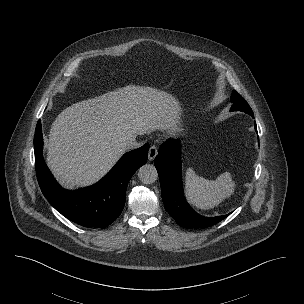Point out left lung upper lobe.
<instances>
[{
    "label": "left lung upper lobe",
    "mask_w": 304,
    "mask_h": 304,
    "mask_svg": "<svg viewBox=\"0 0 304 304\" xmlns=\"http://www.w3.org/2000/svg\"><path fill=\"white\" fill-rule=\"evenodd\" d=\"M231 102L233 103V105L231 107V111H241V112H245L251 116H254L253 111L250 108V106L248 105V103L235 90L232 92Z\"/></svg>",
    "instance_id": "1"
}]
</instances>
